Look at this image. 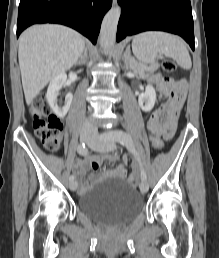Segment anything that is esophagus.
Here are the masks:
<instances>
[{
	"label": "esophagus",
	"mask_w": 219,
	"mask_h": 258,
	"mask_svg": "<svg viewBox=\"0 0 219 258\" xmlns=\"http://www.w3.org/2000/svg\"><path fill=\"white\" fill-rule=\"evenodd\" d=\"M117 3V0H113V5H115Z\"/></svg>",
	"instance_id": "34e87169"
}]
</instances>
